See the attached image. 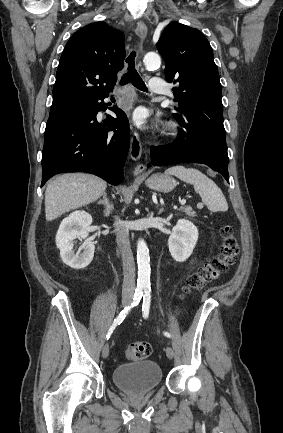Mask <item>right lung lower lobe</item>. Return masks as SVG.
Segmentation results:
<instances>
[{
    "mask_svg": "<svg viewBox=\"0 0 283 433\" xmlns=\"http://www.w3.org/2000/svg\"><path fill=\"white\" fill-rule=\"evenodd\" d=\"M108 94L63 109L51 110L44 133L42 184L62 172H88L110 184L124 180L123 166L130 145L129 124L118 107L117 119L98 122Z\"/></svg>",
    "mask_w": 283,
    "mask_h": 433,
    "instance_id": "right-lung-lower-lobe-1",
    "label": "right lung lower lobe"
}]
</instances>
